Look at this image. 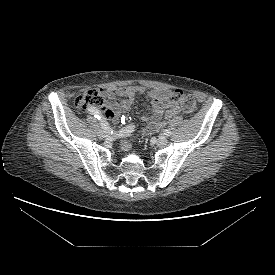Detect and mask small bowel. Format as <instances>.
<instances>
[{
	"mask_svg": "<svg viewBox=\"0 0 275 275\" xmlns=\"http://www.w3.org/2000/svg\"><path fill=\"white\" fill-rule=\"evenodd\" d=\"M102 93L107 99V105L104 109L105 115L114 124L120 122L121 114L131 107L136 95L146 94L150 99L151 111L142 117V120L148 125L145 133H150L160 128L166 120H170L180 113L178 103L172 99V92L167 89L147 90L143 86L133 85L119 87L115 90L105 89L102 90ZM117 97H122L123 99L117 102ZM122 146L127 149L130 144L123 142Z\"/></svg>",
	"mask_w": 275,
	"mask_h": 275,
	"instance_id": "small-bowel-1",
	"label": "small bowel"
}]
</instances>
